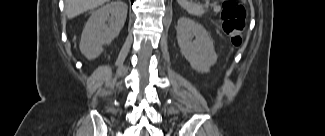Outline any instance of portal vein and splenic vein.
<instances>
[{"instance_id": "obj_1", "label": "portal vein and splenic vein", "mask_w": 325, "mask_h": 136, "mask_svg": "<svg viewBox=\"0 0 325 136\" xmlns=\"http://www.w3.org/2000/svg\"><path fill=\"white\" fill-rule=\"evenodd\" d=\"M205 7H206V8H208V7H209V4H206V5H205ZM214 9L216 10L217 8H216V7H214Z\"/></svg>"}]
</instances>
